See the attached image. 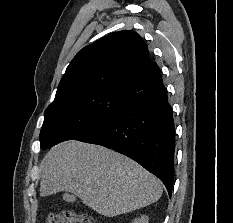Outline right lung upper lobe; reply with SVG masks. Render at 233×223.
<instances>
[{"label":"right lung upper lobe","instance_id":"obj_1","mask_svg":"<svg viewBox=\"0 0 233 223\" xmlns=\"http://www.w3.org/2000/svg\"><path fill=\"white\" fill-rule=\"evenodd\" d=\"M160 73L134 31L114 32L84 47L63 75L56 98L97 88L124 89Z\"/></svg>","mask_w":233,"mask_h":223}]
</instances>
